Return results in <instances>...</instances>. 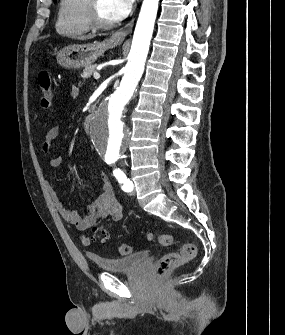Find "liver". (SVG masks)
<instances>
[{"mask_svg": "<svg viewBox=\"0 0 285 335\" xmlns=\"http://www.w3.org/2000/svg\"><path fill=\"white\" fill-rule=\"evenodd\" d=\"M91 38H95V36H79L77 40H91Z\"/></svg>", "mask_w": 285, "mask_h": 335, "instance_id": "obj_1", "label": "liver"}]
</instances>
